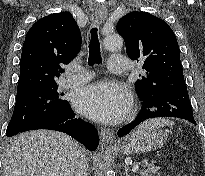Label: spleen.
<instances>
[{
	"label": "spleen",
	"mask_w": 205,
	"mask_h": 176,
	"mask_svg": "<svg viewBox=\"0 0 205 176\" xmlns=\"http://www.w3.org/2000/svg\"><path fill=\"white\" fill-rule=\"evenodd\" d=\"M174 123L167 119H152L149 121L144 122L140 126H153V127H162V126H169L173 125Z\"/></svg>",
	"instance_id": "spleen-1"
}]
</instances>
